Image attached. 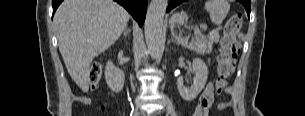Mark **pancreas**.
Here are the masks:
<instances>
[{"label": "pancreas", "instance_id": "1", "mask_svg": "<svg viewBox=\"0 0 305 116\" xmlns=\"http://www.w3.org/2000/svg\"><path fill=\"white\" fill-rule=\"evenodd\" d=\"M184 45L189 50L195 51L199 54H204L209 45V40L203 34H197L195 39H193L189 44L184 43Z\"/></svg>", "mask_w": 305, "mask_h": 116}]
</instances>
